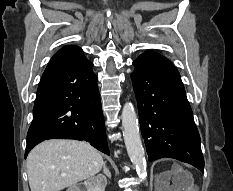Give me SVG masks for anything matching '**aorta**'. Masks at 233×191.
<instances>
[{
  "label": "aorta",
  "mask_w": 233,
  "mask_h": 191,
  "mask_svg": "<svg viewBox=\"0 0 233 191\" xmlns=\"http://www.w3.org/2000/svg\"><path fill=\"white\" fill-rule=\"evenodd\" d=\"M122 127L128 156L138 175L146 179V159L139 133L138 119L131 103H125L122 110Z\"/></svg>",
  "instance_id": "aorta-1"
}]
</instances>
